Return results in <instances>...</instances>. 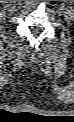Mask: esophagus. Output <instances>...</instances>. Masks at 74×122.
Wrapping results in <instances>:
<instances>
[{
	"instance_id": "1",
	"label": "esophagus",
	"mask_w": 74,
	"mask_h": 122,
	"mask_svg": "<svg viewBox=\"0 0 74 122\" xmlns=\"http://www.w3.org/2000/svg\"><path fill=\"white\" fill-rule=\"evenodd\" d=\"M28 4L35 5L36 3H35V1H28Z\"/></svg>"
}]
</instances>
